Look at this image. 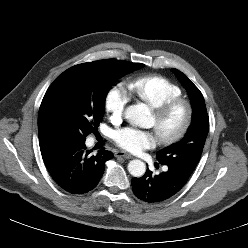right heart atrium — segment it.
Instances as JSON below:
<instances>
[{
	"instance_id": "right-heart-atrium-1",
	"label": "right heart atrium",
	"mask_w": 248,
	"mask_h": 248,
	"mask_svg": "<svg viewBox=\"0 0 248 248\" xmlns=\"http://www.w3.org/2000/svg\"><path fill=\"white\" fill-rule=\"evenodd\" d=\"M129 102L130 95L123 86L119 84L114 85L107 91L104 105L113 122L122 120Z\"/></svg>"
}]
</instances>
